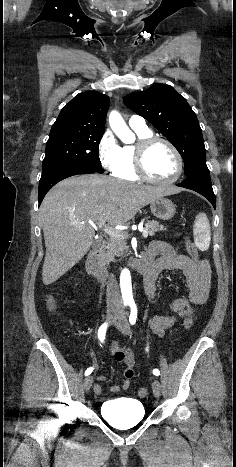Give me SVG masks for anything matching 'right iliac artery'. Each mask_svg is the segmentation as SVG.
<instances>
[{
    "mask_svg": "<svg viewBox=\"0 0 236 467\" xmlns=\"http://www.w3.org/2000/svg\"><path fill=\"white\" fill-rule=\"evenodd\" d=\"M125 306L127 304H124ZM107 327H108V323H103L99 330H98V339L100 340V342H104V339H105V335H106V330H107ZM93 371V367H90L88 368L86 371H85V376H88L89 374H91Z\"/></svg>",
    "mask_w": 236,
    "mask_h": 467,
    "instance_id": "1",
    "label": "right iliac artery"
}]
</instances>
